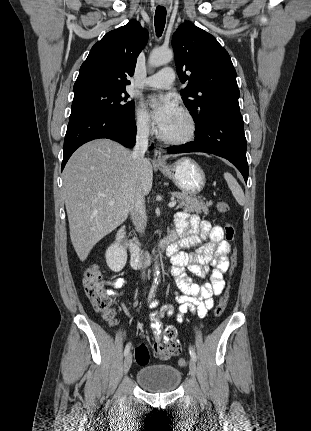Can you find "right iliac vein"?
<instances>
[{
  "label": "right iliac vein",
  "mask_w": 311,
  "mask_h": 431,
  "mask_svg": "<svg viewBox=\"0 0 311 431\" xmlns=\"http://www.w3.org/2000/svg\"><path fill=\"white\" fill-rule=\"evenodd\" d=\"M131 364H132V355L131 353H128L124 360V365H123L124 373H127L129 371Z\"/></svg>",
  "instance_id": "63e3f726"
}]
</instances>
